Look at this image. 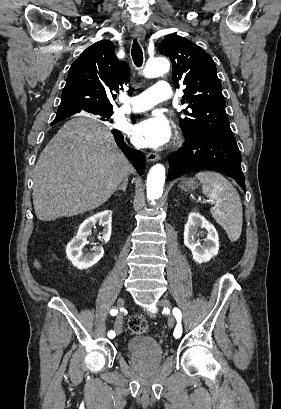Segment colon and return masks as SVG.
Listing matches in <instances>:
<instances>
[{"label": "colon", "instance_id": "obj_1", "mask_svg": "<svg viewBox=\"0 0 281 409\" xmlns=\"http://www.w3.org/2000/svg\"><path fill=\"white\" fill-rule=\"evenodd\" d=\"M129 325L132 331L138 334H142L148 329V323L141 316L137 315L130 319Z\"/></svg>", "mask_w": 281, "mask_h": 409}]
</instances>
